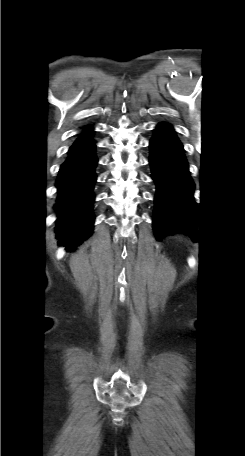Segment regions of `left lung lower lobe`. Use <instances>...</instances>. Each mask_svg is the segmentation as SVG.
I'll use <instances>...</instances> for the list:
<instances>
[{"mask_svg":"<svg viewBox=\"0 0 245 456\" xmlns=\"http://www.w3.org/2000/svg\"><path fill=\"white\" fill-rule=\"evenodd\" d=\"M149 147L152 179L157 187L153 215L156 238L159 240L173 233L194 237V183L189 176L183 145L170 124L160 123L154 130Z\"/></svg>","mask_w":245,"mask_h":456,"instance_id":"left-lung-lower-lobe-1","label":"left lung lower lobe"}]
</instances>
